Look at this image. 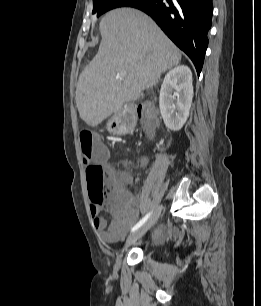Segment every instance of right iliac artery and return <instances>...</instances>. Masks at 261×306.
Listing matches in <instances>:
<instances>
[{"label": "right iliac artery", "instance_id": "1", "mask_svg": "<svg viewBox=\"0 0 261 306\" xmlns=\"http://www.w3.org/2000/svg\"><path fill=\"white\" fill-rule=\"evenodd\" d=\"M151 215V212H149L148 214H146L132 229L131 231H135L137 230L138 228H140L147 220L148 218L150 217Z\"/></svg>", "mask_w": 261, "mask_h": 306}]
</instances>
